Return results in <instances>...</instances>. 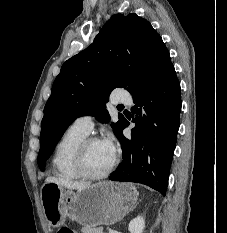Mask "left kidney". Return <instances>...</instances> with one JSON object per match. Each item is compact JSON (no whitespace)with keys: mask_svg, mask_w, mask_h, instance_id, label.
I'll list each match as a JSON object with an SVG mask.
<instances>
[{"mask_svg":"<svg viewBox=\"0 0 227 233\" xmlns=\"http://www.w3.org/2000/svg\"><path fill=\"white\" fill-rule=\"evenodd\" d=\"M145 228V220L142 216H138L131 220L128 226L130 233H142Z\"/></svg>","mask_w":227,"mask_h":233,"instance_id":"left-kidney-1","label":"left kidney"}]
</instances>
